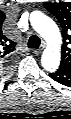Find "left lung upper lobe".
I'll return each mask as SVG.
<instances>
[{
    "mask_svg": "<svg viewBox=\"0 0 71 119\" xmlns=\"http://www.w3.org/2000/svg\"><path fill=\"white\" fill-rule=\"evenodd\" d=\"M44 7L52 13L63 28V46L60 67L71 69V2L44 3Z\"/></svg>",
    "mask_w": 71,
    "mask_h": 119,
    "instance_id": "obj_1",
    "label": "left lung upper lobe"
}]
</instances>
